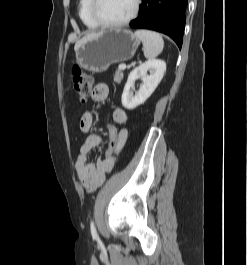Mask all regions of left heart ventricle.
I'll use <instances>...</instances> for the list:
<instances>
[{
	"instance_id": "1",
	"label": "left heart ventricle",
	"mask_w": 247,
	"mask_h": 265,
	"mask_svg": "<svg viewBox=\"0 0 247 265\" xmlns=\"http://www.w3.org/2000/svg\"><path fill=\"white\" fill-rule=\"evenodd\" d=\"M135 0H99L97 12L107 22H117L127 18L133 8Z\"/></svg>"
}]
</instances>
